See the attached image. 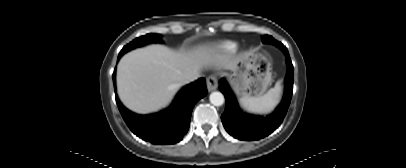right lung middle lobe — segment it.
I'll use <instances>...</instances> for the list:
<instances>
[{"label": "right lung middle lobe", "instance_id": "obj_1", "mask_svg": "<svg viewBox=\"0 0 406 168\" xmlns=\"http://www.w3.org/2000/svg\"><path fill=\"white\" fill-rule=\"evenodd\" d=\"M157 42L162 43V40L160 39L159 34L150 33L145 36L138 37V38L134 39L132 42H130L129 44H127L126 46H124V48L121 50L119 55H122V54L126 53L127 51L134 49L136 47L144 46L149 43H157Z\"/></svg>", "mask_w": 406, "mask_h": 168}]
</instances>
